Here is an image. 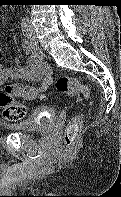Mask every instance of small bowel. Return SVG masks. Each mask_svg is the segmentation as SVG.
Masks as SVG:
<instances>
[{
    "label": "small bowel",
    "mask_w": 121,
    "mask_h": 197,
    "mask_svg": "<svg viewBox=\"0 0 121 197\" xmlns=\"http://www.w3.org/2000/svg\"><path fill=\"white\" fill-rule=\"evenodd\" d=\"M22 46L27 54L31 53L28 56L27 65H22L15 58L14 64L8 67L0 60V85L7 79L41 81L38 87H30L34 92L31 99H34L39 93L46 91L52 83V73L50 67L42 61L39 51L35 50L26 39L22 40Z\"/></svg>",
    "instance_id": "c3829d8e"
}]
</instances>
